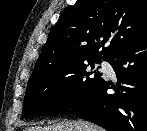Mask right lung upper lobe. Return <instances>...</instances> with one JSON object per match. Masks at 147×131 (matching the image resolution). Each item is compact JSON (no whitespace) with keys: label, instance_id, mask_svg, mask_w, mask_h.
I'll use <instances>...</instances> for the list:
<instances>
[{"label":"right lung upper lobe","instance_id":"1","mask_svg":"<svg viewBox=\"0 0 147 131\" xmlns=\"http://www.w3.org/2000/svg\"><path fill=\"white\" fill-rule=\"evenodd\" d=\"M145 37L147 0H77L51 29L31 77L88 59L109 60Z\"/></svg>","mask_w":147,"mask_h":131}]
</instances>
